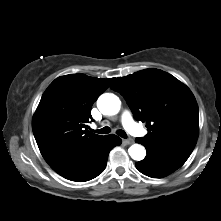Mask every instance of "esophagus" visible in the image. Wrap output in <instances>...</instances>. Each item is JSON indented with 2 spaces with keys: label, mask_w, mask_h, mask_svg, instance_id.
<instances>
[{
  "label": "esophagus",
  "mask_w": 221,
  "mask_h": 221,
  "mask_svg": "<svg viewBox=\"0 0 221 221\" xmlns=\"http://www.w3.org/2000/svg\"><path fill=\"white\" fill-rule=\"evenodd\" d=\"M132 143H133L132 139H123V144H125V145H130Z\"/></svg>",
  "instance_id": "1"
}]
</instances>
